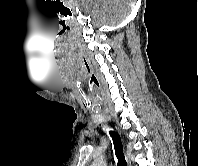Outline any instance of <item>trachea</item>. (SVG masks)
<instances>
[{
  "label": "trachea",
  "instance_id": "3493384b",
  "mask_svg": "<svg viewBox=\"0 0 198 166\" xmlns=\"http://www.w3.org/2000/svg\"><path fill=\"white\" fill-rule=\"evenodd\" d=\"M109 133H110V136L113 140L115 155L118 159V164L117 165L118 166H127L126 161H125V157H124V154H123V147H122L120 136L115 131H110Z\"/></svg>",
  "mask_w": 198,
  "mask_h": 166
}]
</instances>
